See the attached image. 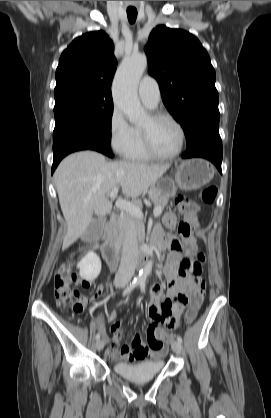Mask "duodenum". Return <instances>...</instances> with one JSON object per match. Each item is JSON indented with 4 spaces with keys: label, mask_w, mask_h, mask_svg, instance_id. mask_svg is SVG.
I'll use <instances>...</instances> for the list:
<instances>
[{
    "label": "duodenum",
    "mask_w": 271,
    "mask_h": 418,
    "mask_svg": "<svg viewBox=\"0 0 271 418\" xmlns=\"http://www.w3.org/2000/svg\"><path fill=\"white\" fill-rule=\"evenodd\" d=\"M117 214L112 212L109 214L108 222L105 226L102 243V253L106 263L110 268H115L119 258V243L117 233ZM95 239L94 236L89 237ZM163 246V240L158 234H155L149 242L139 247L136 254V267H140L147 256L155 249Z\"/></svg>",
    "instance_id": "duodenum-1"
}]
</instances>
